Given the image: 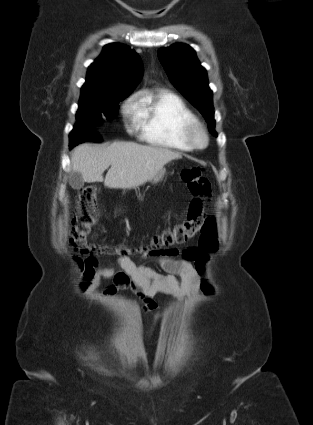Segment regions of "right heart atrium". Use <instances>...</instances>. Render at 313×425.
<instances>
[{
    "label": "right heart atrium",
    "mask_w": 313,
    "mask_h": 425,
    "mask_svg": "<svg viewBox=\"0 0 313 425\" xmlns=\"http://www.w3.org/2000/svg\"><path fill=\"white\" fill-rule=\"evenodd\" d=\"M124 114L127 116L135 115L136 113V103L134 99H130L124 106Z\"/></svg>",
    "instance_id": "1"
}]
</instances>
